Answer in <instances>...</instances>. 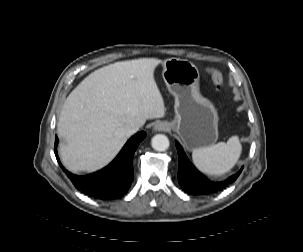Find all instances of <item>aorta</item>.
Wrapping results in <instances>:
<instances>
[{
	"label": "aorta",
	"instance_id": "obj_1",
	"mask_svg": "<svg viewBox=\"0 0 303 252\" xmlns=\"http://www.w3.org/2000/svg\"><path fill=\"white\" fill-rule=\"evenodd\" d=\"M151 145L157 151H165L168 149L170 142L164 134H157L152 138Z\"/></svg>",
	"mask_w": 303,
	"mask_h": 252
}]
</instances>
